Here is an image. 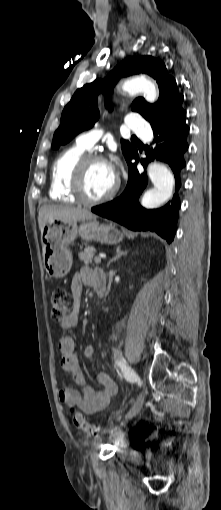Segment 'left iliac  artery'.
<instances>
[{
  "label": "left iliac artery",
  "instance_id": "1",
  "mask_svg": "<svg viewBox=\"0 0 221 510\" xmlns=\"http://www.w3.org/2000/svg\"><path fill=\"white\" fill-rule=\"evenodd\" d=\"M115 364L121 369L127 381L136 382L139 386L142 385L139 376L131 367L127 365L126 361L123 358H117L115 360Z\"/></svg>",
  "mask_w": 221,
  "mask_h": 510
}]
</instances>
